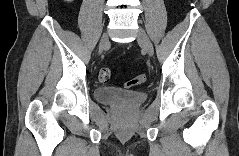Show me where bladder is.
<instances>
[{
	"mask_svg": "<svg viewBox=\"0 0 239 156\" xmlns=\"http://www.w3.org/2000/svg\"><path fill=\"white\" fill-rule=\"evenodd\" d=\"M95 98L101 103L121 102L130 105H139L148 98L147 91H125L119 88L103 86L95 89Z\"/></svg>",
	"mask_w": 239,
	"mask_h": 156,
	"instance_id": "obj_1",
	"label": "bladder"
}]
</instances>
